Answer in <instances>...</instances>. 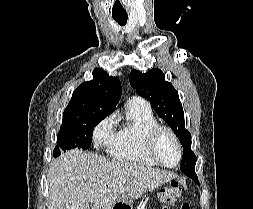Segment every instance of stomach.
Wrapping results in <instances>:
<instances>
[{
  "mask_svg": "<svg viewBox=\"0 0 253 209\" xmlns=\"http://www.w3.org/2000/svg\"><path fill=\"white\" fill-rule=\"evenodd\" d=\"M129 184V183H125ZM131 184V183H130ZM134 184V183H133ZM140 184V183H135ZM160 187H157V192H161L160 199L168 203V197L167 192L169 191V187L165 185V183H160ZM133 190H138V185H133ZM142 188V187H141ZM131 201V191H120V196H117L116 203L113 205L112 209H135L134 206H132Z\"/></svg>",
  "mask_w": 253,
  "mask_h": 209,
  "instance_id": "obj_1",
  "label": "stomach"
}]
</instances>
